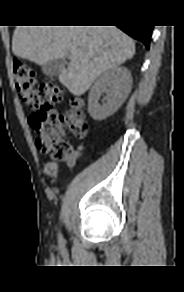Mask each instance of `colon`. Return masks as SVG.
I'll use <instances>...</instances> for the list:
<instances>
[{"mask_svg":"<svg viewBox=\"0 0 184 292\" xmlns=\"http://www.w3.org/2000/svg\"><path fill=\"white\" fill-rule=\"evenodd\" d=\"M12 67L21 99L35 110L29 123L35 132L38 148L48 158L44 166L45 173L54 180L58 165L68 161L73 154L71 145L62 137L64 129L79 139L87 134L84 103L82 99L73 97L68 109L58 113L54 104L62 99V89L52 80L37 86L35 72L18 59H14Z\"/></svg>","mask_w":184,"mask_h":292,"instance_id":"1","label":"colon"}]
</instances>
